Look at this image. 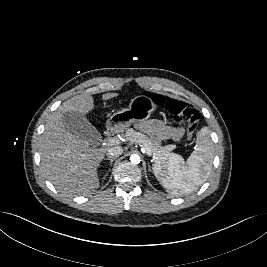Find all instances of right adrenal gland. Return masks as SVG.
<instances>
[{
	"mask_svg": "<svg viewBox=\"0 0 267 267\" xmlns=\"http://www.w3.org/2000/svg\"><path fill=\"white\" fill-rule=\"evenodd\" d=\"M105 160H109V161H110V164L112 165V163H113V161H114L115 159H109V158H106Z\"/></svg>",
	"mask_w": 267,
	"mask_h": 267,
	"instance_id": "obj_1",
	"label": "right adrenal gland"
}]
</instances>
